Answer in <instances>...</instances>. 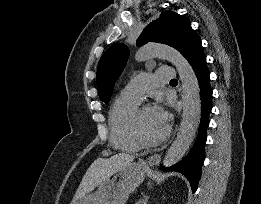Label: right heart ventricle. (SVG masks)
I'll use <instances>...</instances> for the list:
<instances>
[{
  "label": "right heart ventricle",
  "instance_id": "1",
  "mask_svg": "<svg viewBox=\"0 0 261 204\" xmlns=\"http://www.w3.org/2000/svg\"><path fill=\"white\" fill-rule=\"evenodd\" d=\"M139 102L118 97L111 106L108 125L111 145L123 152H137L141 145L133 135L131 128L132 116Z\"/></svg>",
  "mask_w": 261,
  "mask_h": 204
}]
</instances>
